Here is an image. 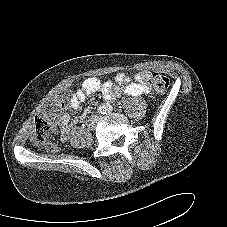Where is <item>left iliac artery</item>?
Instances as JSON below:
<instances>
[{
	"mask_svg": "<svg viewBox=\"0 0 227 227\" xmlns=\"http://www.w3.org/2000/svg\"><path fill=\"white\" fill-rule=\"evenodd\" d=\"M112 110H113V107H112L111 105H107V106H106V112H107V113H111Z\"/></svg>",
	"mask_w": 227,
	"mask_h": 227,
	"instance_id": "44dca946",
	"label": "left iliac artery"
}]
</instances>
